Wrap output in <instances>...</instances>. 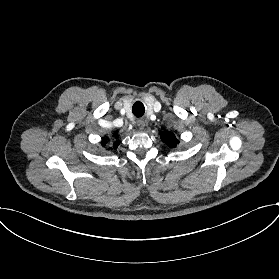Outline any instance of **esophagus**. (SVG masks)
<instances>
[{
  "instance_id": "obj_1",
  "label": "esophagus",
  "mask_w": 279,
  "mask_h": 279,
  "mask_svg": "<svg viewBox=\"0 0 279 279\" xmlns=\"http://www.w3.org/2000/svg\"><path fill=\"white\" fill-rule=\"evenodd\" d=\"M136 124H137V127H138L140 130L144 129L145 126H146V123H145V121H144L143 119L137 120Z\"/></svg>"
}]
</instances>
